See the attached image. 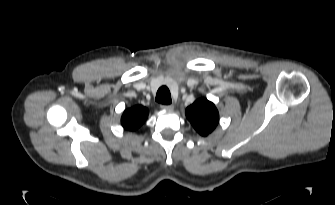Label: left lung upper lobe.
I'll list each match as a JSON object with an SVG mask.
<instances>
[{"instance_id": "obj_1", "label": "left lung upper lobe", "mask_w": 335, "mask_h": 205, "mask_svg": "<svg viewBox=\"0 0 335 205\" xmlns=\"http://www.w3.org/2000/svg\"><path fill=\"white\" fill-rule=\"evenodd\" d=\"M185 113L195 130L202 136L209 135L219 121L218 110L207 99L196 100L192 105L187 107Z\"/></svg>"}]
</instances>
